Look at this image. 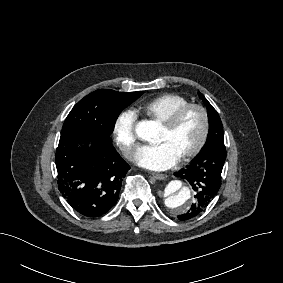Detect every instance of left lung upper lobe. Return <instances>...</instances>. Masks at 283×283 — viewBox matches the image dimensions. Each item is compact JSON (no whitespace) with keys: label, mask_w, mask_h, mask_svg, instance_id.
I'll return each mask as SVG.
<instances>
[{"label":"left lung upper lobe","mask_w":283,"mask_h":283,"mask_svg":"<svg viewBox=\"0 0 283 283\" xmlns=\"http://www.w3.org/2000/svg\"><path fill=\"white\" fill-rule=\"evenodd\" d=\"M200 98L207 106L208 118L210 123V130L206 144L210 142H224L223 138V125L221 119L209 101L199 92Z\"/></svg>","instance_id":"1"}]
</instances>
